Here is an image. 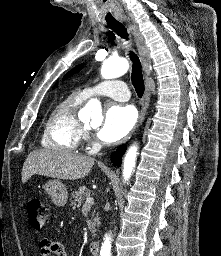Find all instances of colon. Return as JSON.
<instances>
[{"label": "colon", "instance_id": "colon-1", "mask_svg": "<svg viewBox=\"0 0 221 256\" xmlns=\"http://www.w3.org/2000/svg\"><path fill=\"white\" fill-rule=\"evenodd\" d=\"M27 214L30 225L40 230L49 218L48 207L38 197H30L27 200Z\"/></svg>", "mask_w": 221, "mask_h": 256}]
</instances>
